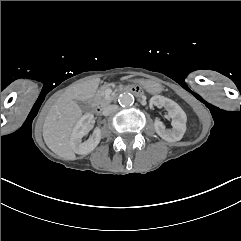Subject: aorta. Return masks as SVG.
<instances>
[{"label":"aorta","mask_w":241,"mask_h":241,"mask_svg":"<svg viewBox=\"0 0 241 241\" xmlns=\"http://www.w3.org/2000/svg\"><path fill=\"white\" fill-rule=\"evenodd\" d=\"M118 102L121 106H130L134 103V97L131 93L124 92L119 96Z\"/></svg>","instance_id":"aorta-1"}]
</instances>
